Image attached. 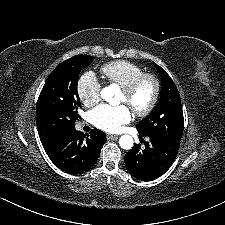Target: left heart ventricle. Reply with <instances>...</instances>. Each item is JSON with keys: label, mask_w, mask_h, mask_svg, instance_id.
Listing matches in <instances>:
<instances>
[{"label": "left heart ventricle", "mask_w": 225, "mask_h": 225, "mask_svg": "<svg viewBox=\"0 0 225 225\" xmlns=\"http://www.w3.org/2000/svg\"><path fill=\"white\" fill-rule=\"evenodd\" d=\"M152 93V83L144 81L131 96H126L121 92L120 103L126 104L131 110L142 109L149 103Z\"/></svg>", "instance_id": "1"}]
</instances>
